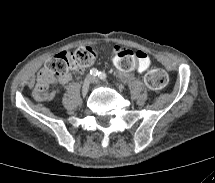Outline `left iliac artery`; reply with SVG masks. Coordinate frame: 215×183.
<instances>
[{
  "mask_svg": "<svg viewBox=\"0 0 215 183\" xmlns=\"http://www.w3.org/2000/svg\"><path fill=\"white\" fill-rule=\"evenodd\" d=\"M98 77L101 79V80H104V79H106V77H107V75H106V73L105 72H99L98 73Z\"/></svg>",
  "mask_w": 215,
  "mask_h": 183,
  "instance_id": "left-iliac-artery-1",
  "label": "left iliac artery"
}]
</instances>
